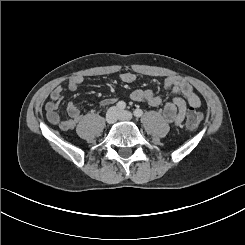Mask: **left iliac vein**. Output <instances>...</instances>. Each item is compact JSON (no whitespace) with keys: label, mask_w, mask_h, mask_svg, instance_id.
<instances>
[{"label":"left iliac vein","mask_w":245,"mask_h":245,"mask_svg":"<svg viewBox=\"0 0 245 245\" xmlns=\"http://www.w3.org/2000/svg\"><path fill=\"white\" fill-rule=\"evenodd\" d=\"M119 120L129 121L133 119V114L129 111H120L118 114Z\"/></svg>","instance_id":"1"}]
</instances>
